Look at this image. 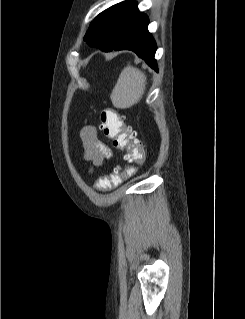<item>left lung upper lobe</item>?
Listing matches in <instances>:
<instances>
[{"label":"left lung upper lobe","mask_w":245,"mask_h":319,"mask_svg":"<svg viewBox=\"0 0 245 319\" xmlns=\"http://www.w3.org/2000/svg\"><path fill=\"white\" fill-rule=\"evenodd\" d=\"M138 11L137 2L134 1H125L111 6L90 24L84 40L90 46L110 47Z\"/></svg>","instance_id":"obj_1"}]
</instances>
